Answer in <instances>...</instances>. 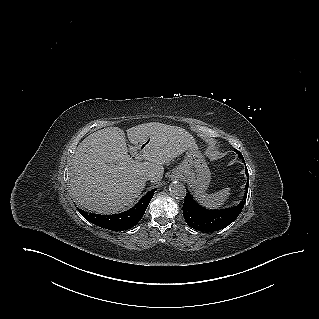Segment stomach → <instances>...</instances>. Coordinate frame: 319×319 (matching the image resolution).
Instances as JSON below:
<instances>
[{"label": "stomach", "mask_w": 319, "mask_h": 319, "mask_svg": "<svg viewBox=\"0 0 319 319\" xmlns=\"http://www.w3.org/2000/svg\"><path fill=\"white\" fill-rule=\"evenodd\" d=\"M175 174L187 180L193 191H205L211 180V173L202 154L196 149H189Z\"/></svg>", "instance_id": "1"}]
</instances>
